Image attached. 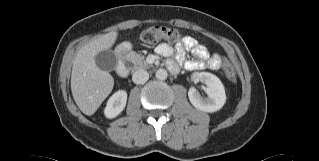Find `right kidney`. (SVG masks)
<instances>
[{
  "label": "right kidney",
  "mask_w": 319,
  "mask_h": 161,
  "mask_svg": "<svg viewBox=\"0 0 319 161\" xmlns=\"http://www.w3.org/2000/svg\"><path fill=\"white\" fill-rule=\"evenodd\" d=\"M127 102V92L119 90L115 92L107 101L104 114L107 118L117 117L125 108Z\"/></svg>",
  "instance_id": "obj_1"
}]
</instances>
